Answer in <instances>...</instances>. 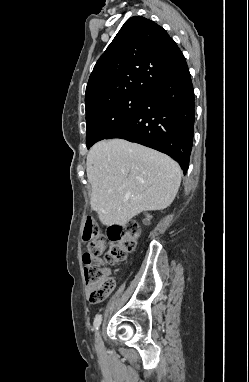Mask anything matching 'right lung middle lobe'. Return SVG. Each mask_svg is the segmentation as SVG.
<instances>
[{"mask_svg": "<svg viewBox=\"0 0 249 382\" xmlns=\"http://www.w3.org/2000/svg\"><path fill=\"white\" fill-rule=\"evenodd\" d=\"M148 93H131L118 99L86 108L87 136L89 149L96 142L106 139L123 126L141 109Z\"/></svg>", "mask_w": 249, "mask_h": 382, "instance_id": "dd1d6c3e", "label": "right lung middle lobe"}]
</instances>
